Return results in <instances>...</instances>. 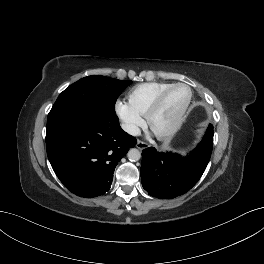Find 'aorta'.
<instances>
[{
    "label": "aorta",
    "instance_id": "762f6f07",
    "mask_svg": "<svg viewBox=\"0 0 264 264\" xmlns=\"http://www.w3.org/2000/svg\"><path fill=\"white\" fill-rule=\"evenodd\" d=\"M127 156L130 161H138L141 158V153L138 149L132 148L129 150Z\"/></svg>",
    "mask_w": 264,
    "mask_h": 264
}]
</instances>
